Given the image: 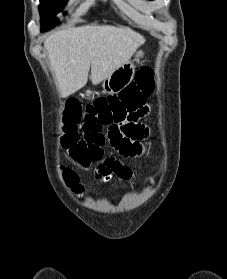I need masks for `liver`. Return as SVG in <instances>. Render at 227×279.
I'll return each mask as SVG.
<instances>
[{"label": "liver", "instance_id": "obj_1", "mask_svg": "<svg viewBox=\"0 0 227 279\" xmlns=\"http://www.w3.org/2000/svg\"><path fill=\"white\" fill-rule=\"evenodd\" d=\"M145 39L129 27L85 25L52 33L44 41L61 97H68L88 81L101 83L126 63Z\"/></svg>", "mask_w": 227, "mask_h": 279}]
</instances>
